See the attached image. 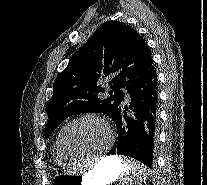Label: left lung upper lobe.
<instances>
[{
  "label": "left lung upper lobe",
  "instance_id": "left-lung-upper-lobe-1",
  "mask_svg": "<svg viewBox=\"0 0 207 185\" xmlns=\"http://www.w3.org/2000/svg\"><path fill=\"white\" fill-rule=\"evenodd\" d=\"M152 66L148 46L137 31L118 21L103 23L55 79L45 137L77 113H104L115 120L125 100V93L119 89L128 91ZM104 79L112 89L105 99L100 95L106 89L98 85Z\"/></svg>",
  "mask_w": 207,
  "mask_h": 185
}]
</instances>
